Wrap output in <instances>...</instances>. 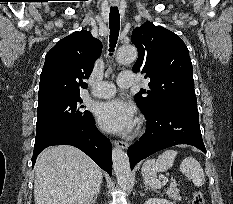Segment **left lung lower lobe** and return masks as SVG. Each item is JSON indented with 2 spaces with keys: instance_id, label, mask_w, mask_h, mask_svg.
Masks as SVG:
<instances>
[{
  "instance_id": "1",
  "label": "left lung lower lobe",
  "mask_w": 233,
  "mask_h": 204,
  "mask_svg": "<svg viewBox=\"0 0 233 204\" xmlns=\"http://www.w3.org/2000/svg\"><path fill=\"white\" fill-rule=\"evenodd\" d=\"M145 134L128 148L131 169L153 153L178 145H193L206 153L199 126L198 110L160 108L145 115Z\"/></svg>"
}]
</instances>
